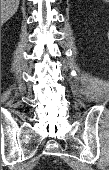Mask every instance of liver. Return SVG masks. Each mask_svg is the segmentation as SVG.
<instances>
[{"label": "liver", "instance_id": "obj_1", "mask_svg": "<svg viewBox=\"0 0 109 170\" xmlns=\"http://www.w3.org/2000/svg\"><path fill=\"white\" fill-rule=\"evenodd\" d=\"M20 0H1V23L8 21L17 11Z\"/></svg>", "mask_w": 109, "mask_h": 170}]
</instances>
